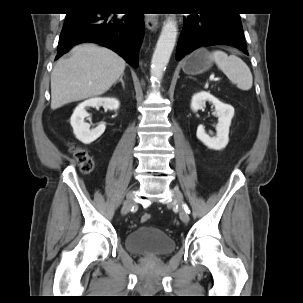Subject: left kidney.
Wrapping results in <instances>:
<instances>
[{"label":"left kidney","instance_id":"obj_1","mask_svg":"<svg viewBox=\"0 0 303 303\" xmlns=\"http://www.w3.org/2000/svg\"><path fill=\"white\" fill-rule=\"evenodd\" d=\"M206 101L211 102L215 106L213 114L218 117L216 136H209L205 132L203 125L198 126L196 135L208 148L222 150L227 146L229 141V127L234 116V108L229 104L222 103L209 92L201 91L193 95L191 99V110L196 112L202 109Z\"/></svg>","mask_w":303,"mask_h":303}]
</instances>
